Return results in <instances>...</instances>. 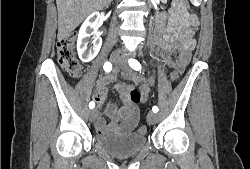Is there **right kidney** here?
I'll use <instances>...</instances> for the list:
<instances>
[{
  "label": "right kidney",
  "instance_id": "right-kidney-1",
  "mask_svg": "<svg viewBox=\"0 0 250 169\" xmlns=\"http://www.w3.org/2000/svg\"><path fill=\"white\" fill-rule=\"evenodd\" d=\"M95 14L96 18H94ZM100 18L101 12H92V14L87 16L83 24H81L77 38V50L79 58L82 62H89V60H93L101 48L102 38L97 32L100 26ZM92 34H94L93 40L91 44H88V38L89 36H92Z\"/></svg>",
  "mask_w": 250,
  "mask_h": 169
}]
</instances>
